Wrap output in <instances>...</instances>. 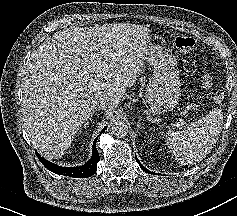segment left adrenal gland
<instances>
[{
    "instance_id": "a2214340",
    "label": "left adrenal gland",
    "mask_w": 237,
    "mask_h": 216,
    "mask_svg": "<svg viewBox=\"0 0 237 216\" xmlns=\"http://www.w3.org/2000/svg\"><path fill=\"white\" fill-rule=\"evenodd\" d=\"M140 122H141V118L140 117H138V127H140L141 125H140Z\"/></svg>"
}]
</instances>
